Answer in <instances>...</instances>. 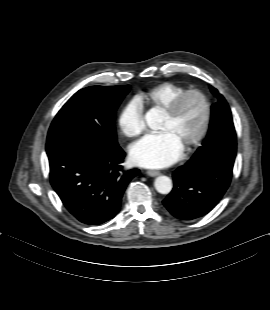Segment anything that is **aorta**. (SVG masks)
<instances>
[{
    "instance_id": "obj_1",
    "label": "aorta",
    "mask_w": 270,
    "mask_h": 310,
    "mask_svg": "<svg viewBox=\"0 0 270 310\" xmlns=\"http://www.w3.org/2000/svg\"><path fill=\"white\" fill-rule=\"evenodd\" d=\"M146 122L151 129H158L161 122L160 116L154 112L150 111L145 116ZM155 189L160 194H168L172 190V181L167 176H159L154 182Z\"/></svg>"
}]
</instances>
